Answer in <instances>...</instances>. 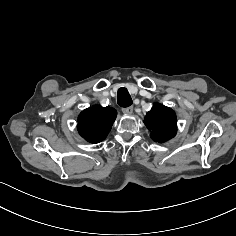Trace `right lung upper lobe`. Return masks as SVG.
Segmentation results:
<instances>
[{"instance_id": "cb5924a9", "label": "right lung upper lobe", "mask_w": 236, "mask_h": 236, "mask_svg": "<svg viewBox=\"0 0 236 236\" xmlns=\"http://www.w3.org/2000/svg\"><path fill=\"white\" fill-rule=\"evenodd\" d=\"M116 115V110L109 106L94 105L87 108L78 116V132L86 141L99 143L107 137Z\"/></svg>"}]
</instances>
